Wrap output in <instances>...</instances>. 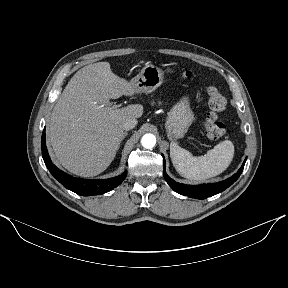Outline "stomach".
Here are the masks:
<instances>
[{"instance_id":"1","label":"stomach","mask_w":288,"mask_h":288,"mask_svg":"<svg viewBox=\"0 0 288 288\" xmlns=\"http://www.w3.org/2000/svg\"><path fill=\"white\" fill-rule=\"evenodd\" d=\"M171 68L167 73H172ZM165 72L158 66L147 64L141 72L135 76L130 84L136 93H151L163 83ZM194 120V114L190 108L189 97L183 96L169 111L165 123L169 138H182Z\"/></svg>"}]
</instances>
